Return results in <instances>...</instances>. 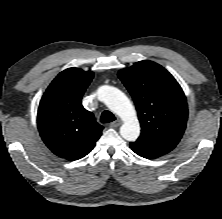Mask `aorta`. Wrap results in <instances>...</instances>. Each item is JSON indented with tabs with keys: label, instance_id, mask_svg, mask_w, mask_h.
Instances as JSON below:
<instances>
[{
	"label": "aorta",
	"instance_id": "aorta-1",
	"mask_svg": "<svg viewBox=\"0 0 222 219\" xmlns=\"http://www.w3.org/2000/svg\"><path fill=\"white\" fill-rule=\"evenodd\" d=\"M99 98L122 120L121 136L127 141H135L140 135V124L136 111L128 97L119 89L104 85L98 89Z\"/></svg>",
	"mask_w": 222,
	"mask_h": 219
}]
</instances>
